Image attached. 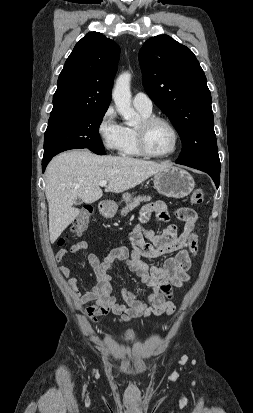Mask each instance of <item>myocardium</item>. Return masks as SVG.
<instances>
[{"mask_svg":"<svg viewBox=\"0 0 253 413\" xmlns=\"http://www.w3.org/2000/svg\"><path fill=\"white\" fill-rule=\"evenodd\" d=\"M157 122H161V123L166 124L170 128V130L172 131L173 136H174L173 146L166 153H161V154L154 153L148 147L147 131H148L150 126H152L154 123H157ZM135 131H136L138 149L141 152V154L146 156V157H150V158L169 157L177 151V149L179 147V144H180V135H179V132H178L176 126L173 124V122L171 120H169L168 118L163 117V116L150 115V116H147V117H143L140 120L139 124L135 127Z\"/></svg>","mask_w":253,"mask_h":413,"instance_id":"myocardium-1","label":"myocardium"}]
</instances>
